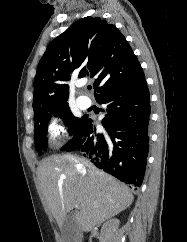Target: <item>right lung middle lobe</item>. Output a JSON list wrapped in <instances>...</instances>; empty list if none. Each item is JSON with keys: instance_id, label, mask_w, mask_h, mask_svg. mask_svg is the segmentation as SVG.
<instances>
[{"instance_id": "dd1d6c3e", "label": "right lung middle lobe", "mask_w": 187, "mask_h": 242, "mask_svg": "<svg viewBox=\"0 0 187 242\" xmlns=\"http://www.w3.org/2000/svg\"><path fill=\"white\" fill-rule=\"evenodd\" d=\"M51 114L54 116L61 117L63 119H66L67 126L69 127V133L72 135L77 128L81 125L83 122V119L85 117H75L71 111L70 108L67 105L52 109L50 111L36 114L35 115V131H34V137H35V147L37 151L45 150L47 148V141H46V134L48 129V122L51 119ZM42 152H39V155H41Z\"/></svg>"}]
</instances>
